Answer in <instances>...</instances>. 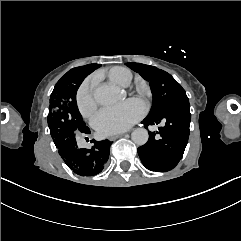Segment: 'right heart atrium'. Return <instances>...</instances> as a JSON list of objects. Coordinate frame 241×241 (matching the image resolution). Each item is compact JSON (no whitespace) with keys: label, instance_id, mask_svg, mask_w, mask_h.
I'll return each instance as SVG.
<instances>
[{"label":"right heart atrium","instance_id":"obj_1","mask_svg":"<svg viewBox=\"0 0 241 241\" xmlns=\"http://www.w3.org/2000/svg\"><path fill=\"white\" fill-rule=\"evenodd\" d=\"M76 102L79 112L84 117L90 116L96 109V101L87 86L78 90Z\"/></svg>","mask_w":241,"mask_h":241}]
</instances>
